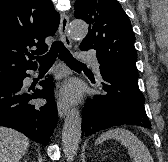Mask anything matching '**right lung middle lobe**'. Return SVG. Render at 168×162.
Here are the masks:
<instances>
[{"label": "right lung middle lobe", "instance_id": "obj_1", "mask_svg": "<svg viewBox=\"0 0 168 162\" xmlns=\"http://www.w3.org/2000/svg\"><path fill=\"white\" fill-rule=\"evenodd\" d=\"M7 78H9V77H7ZM7 78H1L0 81H3V80H5V79H7Z\"/></svg>", "mask_w": 168, "mask_h": 162}]
</instances>
